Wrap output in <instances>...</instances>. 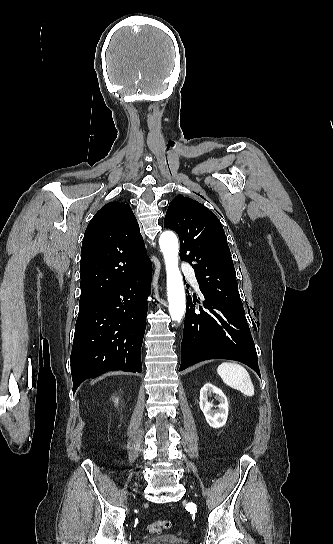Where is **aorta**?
Masks as SVG:
<instances>
[{
	"instance_id": "obj_1",
	"label": "aorta",
	"mask_w": 333,
	"mask_h": 544,
	"mask_svg": "<svg viewBox=\"0 0 333 544\" xmlns=\"http://www.w3.org/2000/svg\"><path fill=\"white\" fill-rule=\"evenodd\" d=\"M167 273V294L169 313L173 321H181L185 313L186 298L183 278L178 267V239L170 231L163 232L159 238Z\"/></svg>"
}]
</instances>
